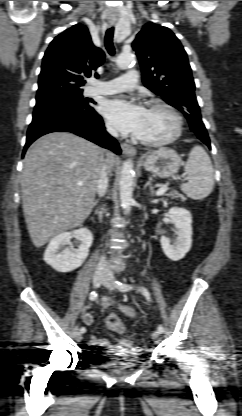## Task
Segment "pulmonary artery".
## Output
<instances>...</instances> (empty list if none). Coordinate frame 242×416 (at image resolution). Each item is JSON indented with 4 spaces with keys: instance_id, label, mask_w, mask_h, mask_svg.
<instances>
[{
    "instance_id": "pulmonary-artery-1",
    "label": "pulmonary artery",
    "mask_w": 242,
    "mask_h": 416,
    "mask_svg": "<svg viewBox=\"0 0 242 416\" xmlns=\"http://www.w3.org/2000/svg\"><path fill=\"white\" fill-rule=\"evenodd\" d=\"M138 73L129 69L124 75L105 81H97L90 89V95H111L130 91L138 87Z\"/></svg>"
}]
</instances>
